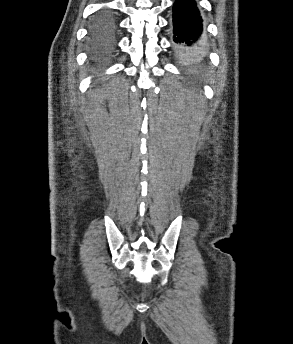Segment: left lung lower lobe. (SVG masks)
Wrapping results in <instances>:
<instances>
[{
    "label": "left lung lower lobe",
    "instance_id": "0a47b994",
    "mask_svg": "<svg viewBox=\"0 0 293 344\" xmlns=\"http://www.w3.org/2000/svg\"><path fill=\"white\" fill-rule=\"evenodd\" d=\"M203 20L195 0H176L173 6V33L178 56L192 61L203 58L200 44Z\"/></svg>",
    "mask_w": 293,
    "mask_h": 344
}]
</instances>
